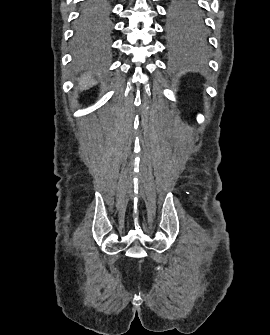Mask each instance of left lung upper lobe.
Listing matches in <instances>:
<instances>
[{
	"instance_id": "left-lung-upper-lobe-1",
	"label": "left lung upper lobe",
	"mask_w": 270,
	"mask_h": 335,
	"mask_svg": "<svg viewBox=\"0 0 270 335\" xmlns=\"http://www.w3.org/2000/svg\"><path fill=\"white\" fill-rule=\"evenodd\" d=\"M169 8V29L173 33L199 30L203 27V12L197 0H173Z\"/></svg>"
}]
</instances>
